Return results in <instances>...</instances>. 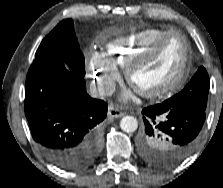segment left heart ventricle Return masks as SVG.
Here are the masks:
<instances>
[{"instance_id": "b2bd125f", "label": "left heart ventricle", "mask_w": 223, "mask_h": 188, "mask_svg": "<svg viewBox=\"0 0 223 188\" xmlns=\"http://www.w3.org/2000/svg\"><path fill=\"white\" fill-rule=\"evenodd\" d=\"M184 55L179 36L168 38L158 52L134 73V83L141 89H154L169 81L178 71Z\"/></svg>"}]
</instances>
